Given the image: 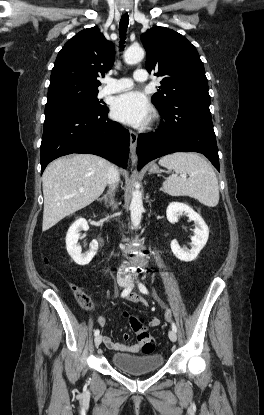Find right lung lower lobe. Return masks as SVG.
I'll return each mask as SVG.
<instances>
[{"label":"right lung lower lobe","instance_id":"98d812e1","mask_svg":"<svg viewBox=\"0 0 264 415\" xmlns=\"http://www.w3.org/2000/svg\"><path fill=\"white\" fill-rule=\"evenodd\" d=\"M99 111L63 110L46 114L41 142V173L54 159L71 153L104 157L123 168L129 156V132Z\"/></svg>","mask_w":264,"mask_h":415}]
</instances>
